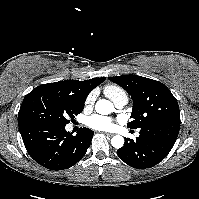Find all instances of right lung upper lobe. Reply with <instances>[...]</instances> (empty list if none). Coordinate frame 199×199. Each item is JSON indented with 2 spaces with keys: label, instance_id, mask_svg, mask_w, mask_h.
Listing matches in <instances>:
<instances>
[{
  "label": "right lung upper lobe",
  "instance_id": "right-lung-upper-lobe-1",
  "mask_svg": "<svg viewBox=\"0 0 199 199\" xmlns=\"http://www.w3.org/2000/svg\"><path fill=\"white\" fill-rule=\"evenodd\" d=\"M104 80L103 77L84 81L65 80L43 84L33 89L25 97L35 96L39 100H44L51 94H60L73 101H85L88 94Z\"/></svg>",
  "mask_w": 199,
  "mask_h": 199
}]
</instances>
